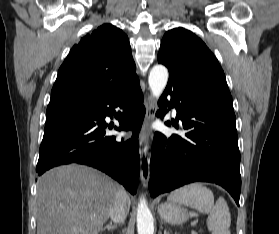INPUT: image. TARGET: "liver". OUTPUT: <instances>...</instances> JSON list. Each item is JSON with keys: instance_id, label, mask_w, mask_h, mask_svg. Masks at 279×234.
<instances>
[{"instance_id": "obj_1", "label": "liver", "mask_w": 279, "mask_h": 234, "mask_svg": "<svg viewBox=\"0 0 279 234\" xmlns=\"http://www.w3.org/2000/svg\"><path fill=\"white\" fill-rule=\"evenodd\" d=\"M118 189L111 178L86 166L51 169L37 183V234H98Z\"/></svg>"}]
</instances>
